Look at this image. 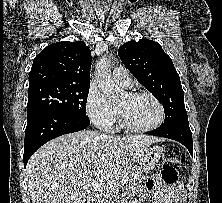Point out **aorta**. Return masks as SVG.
<instances>
[{"label":"aorta","mask_w":222,"mask_h":203,"mask_svg":"<svg viewBox=\"0 0 222 203\" xmlns=\"http://www.w3.org/2000/svg\"><path fill=\"white\" fill-rule=\"evenodd\" d=\"M95 77L98 87L108 98H115L119 93V87L114 83L111 76L110 61L102 57L95 67Z\"/></svg>","instance_id":"aorta-1"}]
</instances>
